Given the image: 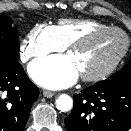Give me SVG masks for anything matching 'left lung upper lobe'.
<instances>
[{
    "instance_id": "5c2ea615",
    "label": "left lung upper lobe",
    "mask_w": 131,
    "mask_h": 131,
    "mask_svg": "<svg viewBox=\"0 0 131 131\" xmlns=\"http://www.w3.org/2000/svg\"><path fill=\"white\" fill-rule=\"evenodd\" d=\"M102 86H130L131 87V60L118 72L106 80L97 82Z\"/></svg>"
}]
</instances>
